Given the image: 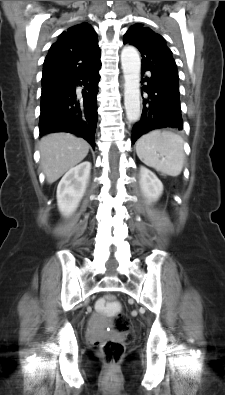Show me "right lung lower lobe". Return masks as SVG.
I'll use <instances>...</instances> for the list:
<instances>
[{"label":"right lung lower lobe","mask_w":225,"mask_h":395,"mask_svg":"<svg viewBox=\"0 0 225 395\" xmlns=\"http://www.w3.org/2000/svg\"><path fill=\"white\" fill-rule=\"evenodd\" d=\"M100 67L99 60L86 70L66 74L42 86L40 136L69 132L83 137L95 147ZM77 86L85 87L81 94H76Z\"/></svg>","instance_id":"1"}]
</instances>
